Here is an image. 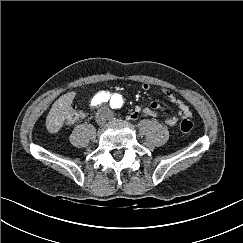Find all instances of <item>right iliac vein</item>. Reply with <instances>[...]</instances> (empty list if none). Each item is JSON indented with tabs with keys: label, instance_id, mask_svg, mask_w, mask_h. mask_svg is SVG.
I'll list each match as a JSON object with an SVG mask.
<instances>
[{
	"label": "right iliac vein",
	"instance_id": "63e3f726",
	"mask_svg": "<svg viewBox=\"0 0 243 243\" xmlns=\"http://www.w3.org/2000/svg\"><path fill=\"white\" fill-rule=\"evenodd\" d=\"M105 121H106V119H105V117H104L103 114H100V115L97 117V123H98L99 125H103V124L105 123Z\"/></svg>",
	"mask_w": 243,
	"mask_h": 243
}]
</instances>
